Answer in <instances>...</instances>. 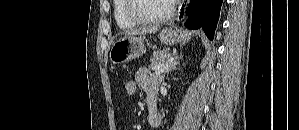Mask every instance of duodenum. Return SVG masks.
<instances>
[{"label": "duodenum", "instance_id": "410a0bca", "mask_svg": "<svg viewBox=\"0 0 299 130\" xmlns=\"http://www.w3.org/2000/svg\"><path fill=\"white\" fill-rule=\"evenodd\" d=\"M146 103L150 112V115L156 116L157 113V97L154 95H148L146 99Z\"/></svg>", "mask_w": 299, "mask_h": 130}]
</instances>
